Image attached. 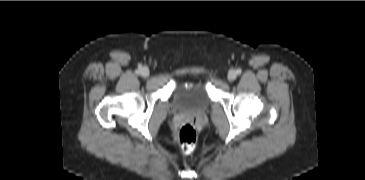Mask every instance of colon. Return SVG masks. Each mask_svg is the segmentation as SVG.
<instances>
[{
	"instance_id": "1",
	"label": "colon",
	"mask_w": 365,
	"mask_h": 180,
	"mask_svg": "<svg viewBox=\"0 0 365 180\" xmlns=\"http://www.w3.org/2000/svg\"><path fill=\"white\" fill-rule=\"evenodd\" d=\"M176 141L183 151H193L197 142V133L192 124L185 123L179 128Z\"/></svg>"
}]
</instances>
